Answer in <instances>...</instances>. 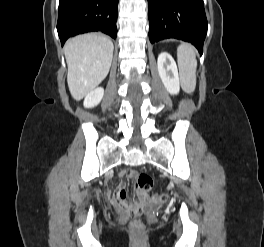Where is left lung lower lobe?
<instances>
[{
    "label": "left lung lower lobe",
    "mask_w": 264,
    "mask_h": 247,
    "mask_svg": "<svg viewBox=\"0 0 264 247\" xmlns=\"http://www.w3.org/2000/svg\"><path fill=\"white\" fill-rule=\"evenodd\" d=\"M151 43L175 38L203 52L207 19L203 0H148Z\"/></svg>",
    "instance_id": "1"
}]
</instances>
